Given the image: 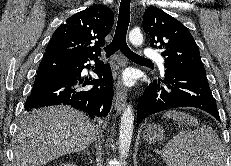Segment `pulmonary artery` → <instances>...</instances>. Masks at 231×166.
Here are the masks:
<instances>
[{
    "mask_svg": "<svg viewBox=\"0 0 231 166\" xmlns=\"http://www.w3.org/2000/svg\"><path fill=\"white\" fill-rule=\"evenodd\" d=\"M144 55L147 58L157 60L160 66L163 67V59L160 57V55L156 51L148 49L144 51Z\"/></svg>",
    "mask_w": 231,
    "mask_h": 166,
    "instance_id": "e3ab8cb5",
    "label": "pulmonary artery"
}]
</instances>
